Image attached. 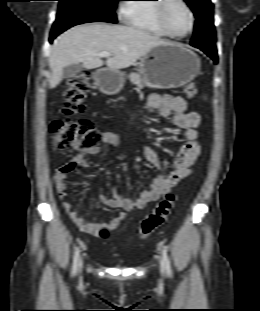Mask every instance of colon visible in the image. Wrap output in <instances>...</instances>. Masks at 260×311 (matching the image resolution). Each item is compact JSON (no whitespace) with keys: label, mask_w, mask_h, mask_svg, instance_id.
<instances>
[{"label":"colon","mask_w":260,"mask_h":311,"mask_svg":"<svg viewBox=\"0 0 260 311\" xmlns=\"http://www.w3.org/2000/svg\"><path fill=\"white\" fill-rule=\"evenodd\" d=\"M88 80L86 73H79L72 76L68 81L62 105V113L66 118L55 120L50 125L54 150L62 151L73 148L78 151H86L98 146L101 141V133L92 121L71 119L72 116L82 114L85 111L84 97L88 91ZM184 91L189 98H194L198 94V88L194 83L187 84ZM176 201L177 196L175 194H165L153 212L141 221L139 226V239L141 241H146L154 230L167 221ZM109 232L107 228L101 227L97 231V236L106 239Z\"/></svg>","instance_id":"colon-1"}]
</instances>
